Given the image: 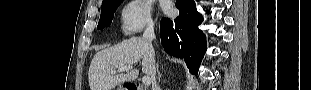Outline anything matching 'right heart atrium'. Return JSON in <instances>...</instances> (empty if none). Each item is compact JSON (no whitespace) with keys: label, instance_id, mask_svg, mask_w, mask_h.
Masks as SVG:
<instances>
[{"label":"right heart atrium","instance_id":"right-heart-atrium-1","mask_svg":"<svg viewBox=\"0 0 311 90\" xmlns=\"http://www.w3.org/2000/svg\"><path fill=\"white\" fill-rule=\"evenodd\" d=\"M120 25L126 36H133L145 28H151L153 20L149 3L143 0L128 2L120 12Z\"/></svg>","mask_w":311,"mask_h":90}]
</instances>
